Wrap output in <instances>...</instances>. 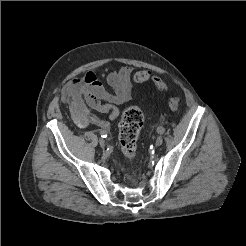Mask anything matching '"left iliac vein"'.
<instances>
[{
  "label": "left iliac vein",
  "mask_w": 246,
  "mask_h": 246,
  "mask_svg": "<svg viewBox=\"0 0 246 246\" xmlns=\"http://www.w3.org/2000/svg\"><path fill=\"white\" fill-rule=\"evenodd\" d=\"M163 143V137L162 136H158L155 142L156 146H160Z\"/></svg>",
  "instance_id": "4c4485c4"
}]
</instances>
